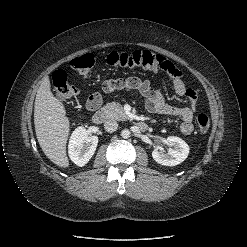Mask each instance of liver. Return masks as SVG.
<instances>
[{
	"label": "liver",
	"mask_w": 247,
	"mask_h": 247,
	"mask_svg": "<svg viewBox=\"0 0 247 247\" xmlns=\"http://www.w3.org/2000/svg\"><path fill=\"white\" fill-rule=\"evenodd\" d=\"M34 125L37 140L44 154L57 166L68 167L66 143L70 121L63 103L53 95L47 76L42 79L36 94Z\"/></svg>",
	"instance_id": "1"
}]
</instances>
